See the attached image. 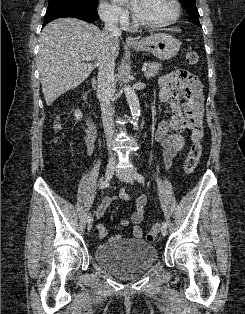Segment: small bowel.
<instances>
[{
    "mask_svg": "<svg viewBox=\"0 0 245 314\" xmlns=\"http://www.w3.org/2000/svg\"><path fill=\"white\" fill-rule=\"evenodd\" d=\"M159 100L168 109L169 116L161 120L156 128L154 138L161 146V153L167 169L172 166L174 158L186 145V138L182 135L185 129L190 131V140L196 142L203 137V93L202 83L199 78L186 70H176L162 77L159 85ZM87 153L92 155L96 141V131L88 123L84 135ZM120 198L129 201L130 197L123 188ZM110 201L104 200L100 205L97 216L101 217ZM147 196L141 195L136 200V210L129 219H122L121 225H133L131 238L141 239L143 229L140 224L144 220ZM98 237L107 236V230L102 224L96 226ZM123 238L117 234L109 238V242H116Z\"/></svg>",
    "mask_w": 245,
    "mask_h": 314,
    "instance_id": "obj_1",
    "label": "small bowel"
}]
</instances>
